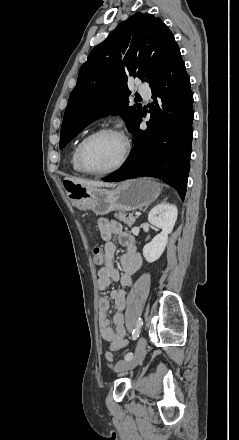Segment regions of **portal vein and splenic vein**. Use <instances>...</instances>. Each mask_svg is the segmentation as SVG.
Here are the masks:
<instances>
[{
    "mask_svg": "<svg viewBox=\"0 0 239 440\" xmlns=\"http://www.w3.org/2000/svg\"><path fill=\"white\" fill-rule=\"evenodd\" d=\"M135 214H136V216H139L141 213L140 212H136Z\"/></svg>",
    "mask_w": 239,
    "mask_h": 440,
    "instance_id": "portal-vein-and-splenic-vein-1",
    "label": "portal vein and splenic vein"
}]
</instances>
